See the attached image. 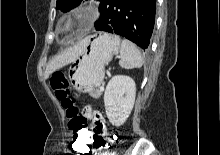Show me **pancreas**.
I'll use <instances>...</instances> for the list:
<instances>
[{
	"mask_svg": "<svg viewBox=\"0 0 220 155\" xmlns=\"http://www.w3.org/2000/svg\"><path fill=\"white\" fill-rule=\"evenodd\" d=\"M102 95V91L97 90L91 96L94 98H99Z\"/></svg>",
	"mask_w": 220,
	"mask_h": 155,
	"instance_id": "pancreas-1",
	"label": "pancreas"
}]
</instances>
